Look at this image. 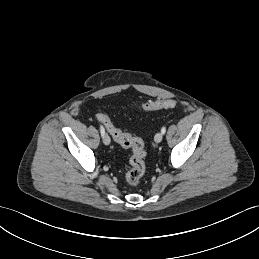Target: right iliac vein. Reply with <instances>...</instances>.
Returning a JSON list of instances; mask_svg holds the SVG:
<instances>
[{
    "mask_svg": "<svg viewBox=\"0 0 259 259\" xmlns=\"http://www.w3.org/2000/svg\"><path fill=\"white\" fill-rule=\"evenodd\" d=\"M110 142H111L110 137L107 134H104V136H103V143L105 145H109Z\"/></svg>",
    "mask_w": 259,
    "mask_h": 259,
    "instance_id": "1",
    "label": "right iliac vein"
}]
</instances>
